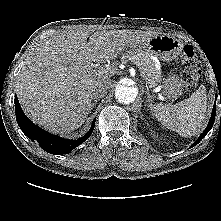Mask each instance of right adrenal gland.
<instances>
[{"label": "right adrenal gland", "mask_w": 221, "mask_h": 221, "mask_svg": "<svg viewBox=\"0 0 221 221\" xmlns=\"http://www.w3.org/2000/svg\"><path fill=\"white\" fill-rule=\"evenodd\" d=\"M97 100H95L92 104H91V109L96 105Z\"/></svg>", "instance_id": "2a0ac1e0"}]
</instances>
